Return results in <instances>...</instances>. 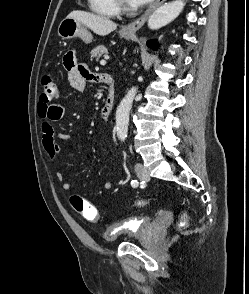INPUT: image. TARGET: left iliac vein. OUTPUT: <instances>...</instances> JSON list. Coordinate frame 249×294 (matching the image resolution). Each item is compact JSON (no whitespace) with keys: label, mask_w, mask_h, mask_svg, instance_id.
Segmentation results:
<instances>
[{"label":"left iliac vein","mask_w":249,"mask_h":294,"mask_svg":"<svg viewBox=\"0 0 249 294\" xmlns=\"http://www.w3.org/2000/svg\"><path fill=\"white\" fill-rule=\"evenodd\" d=\"M135 172L140 180L148 181L150 179L146 168L141 163L135 164Z\"/></svg>","instance_id":"1"}]
</instances>
